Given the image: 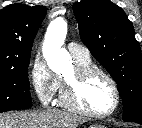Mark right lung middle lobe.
I'll return each instance as SVG.
<instances>
[{"instance_id": "right-lung-middle-lobe-1", "label": "right lung middle lobe", "mask_w": 142, "mask_h": 128, "mask_svg": "<svg viewBox=\"0 0 142 128\" xmlns=\"http://www.w3.org/2000/svg\"><path fill=\"white\" fill-rule=\"evenodd\" d=\"M28 66L0 70V112L32 107Z\"/></svg>"}]
</instances>
